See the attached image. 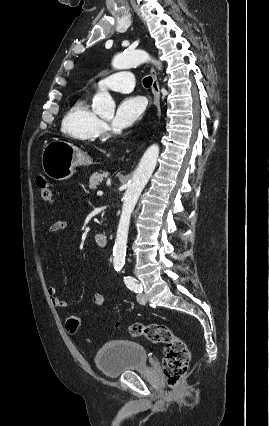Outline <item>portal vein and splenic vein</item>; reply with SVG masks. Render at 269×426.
I'll use <instances>...</instances> for the list:
<instances>
[{"instance_id":"18ae733b","label":"portal vein and splenic vein","mask_w":269,"mask_h":426,"mask_svg":"<svg viewBox=\"0 0 269 426\" xmlns=\"http://www.w3.org/2000/svg\"><path fill=\"white\" fill-rule=\"evenodd\" d=\"M97 195H98V196H102V195H103V192H102V191H98V192H97Z\"/></svg>"}]
</instances>
